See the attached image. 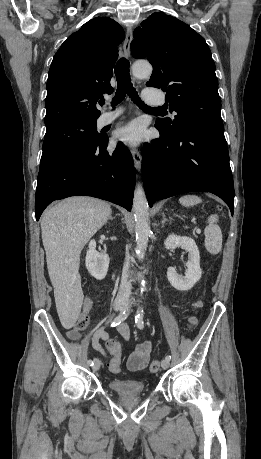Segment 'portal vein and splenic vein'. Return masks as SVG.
<instances>
[{
	"mask_svg": "<svg viewBox=\"0 0 261 459\" xmlns=\"http://www.w3.org/2000/svg\"><path fill=\"white\" fill-rule=\"evenodd\" d=\"M196 233L197 234H200L201 233V230L199 228L196 229Z\"/></svg>",
	"mask_w": 261,
	"mask_h": 459,
	"instance_id": "18ae733b",
	"label": "portal vein and splenic vein"
}]
</instances>
